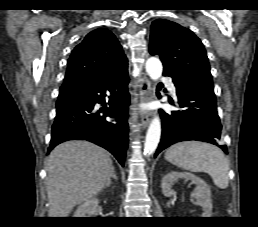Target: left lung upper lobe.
<instances>
[{
  "label": "left lung upper lobe",
  "instance_id": "1",
  "mask_svg": "<svg viewBox=\"0 0 258 227\" xmlns=\"http://www.w3.org/2000/svg\"><path fill=\"white\" fill-rule=\"evenodd\" d=\"M149 52L160 56L164 76L213 88L205 48L189 29L169 20L153 21Z\"/></svg>",
  "mask_w": 258,
  "mask_h": 227
}]
</instances>
